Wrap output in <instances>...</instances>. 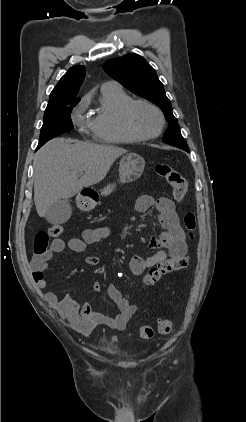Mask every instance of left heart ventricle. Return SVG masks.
Masks as SVG:
<instances>
[{"mask_svg": "<svg viewBox=\"0 0 246 422\" xmlns=\"http://www.w3.org/2000/svg\"><path fill=\"white\" fill-rule=\"evenodd\" d=\"M135 128L142 134H152L157 131L160 119L155 110L146 105H138L132 112Z\"/></svg>", "mask_w": 246, "mask_h": 422, "instance_id": "b2bd125f", "label": "left heart ventricle"}]
</instances>
